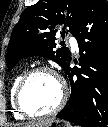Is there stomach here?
Instances as JSON below:
<instances>
[{"instance_id":"1","label":"stomach","mask_w":108,"mask_h":127,"mask_svg":"<svg viewBox=\"0 0 108 127\" xmlns=\"http://www.w3.org/2000/svg\"><path fill=\"white\" fill-rule=\"evenodd\" d=\"M44 127H73L71 123L64 120H53Z\"/></svg>"}]
</instances>
